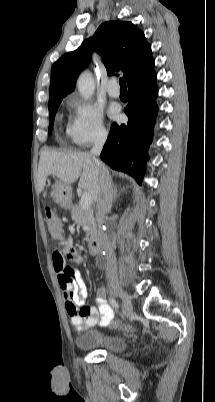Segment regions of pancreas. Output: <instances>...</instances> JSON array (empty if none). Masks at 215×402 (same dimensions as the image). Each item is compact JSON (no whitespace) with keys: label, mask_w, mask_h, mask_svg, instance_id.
<instances>
[{"label":"pancreas","mask_w":215,"mask_h":402,"mask_svg":"<svg viewBox=\"0 0 215 402\" xmlns=\"http://www.w3.org/2000/svg\"><path fill=\"white\" fill-rule=\"evenodd\" d=\"M71 217L76 224L83 227L86 231L85 241H91L97 234V225L94 218L93 209H83L80 204L74 205L71 210Z\"/></svg>","instance_id":"pancreas-1"}]
</instances>
